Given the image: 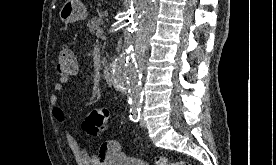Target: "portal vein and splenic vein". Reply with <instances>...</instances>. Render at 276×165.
<instances>
[{"label":"portal vein and splenic vein","mask_w":276,"mask_h":165,"mask_svg":"<svg viewBox=\"0 0 276 165\" xmlns=\"http://www.w3.org/2000/svg\"><path fill=\"white\" fill-rule=\"evenodd\" d=\"M96 34H97V37L102 36L103 30L102 29H98Z\"/></svg>","instance_id":"18ae733b"}]
</instances>
